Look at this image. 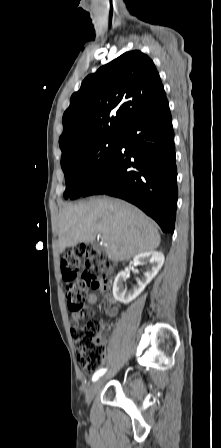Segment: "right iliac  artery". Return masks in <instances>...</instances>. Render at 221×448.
<instances>
[{
  "instance_id": "obj_1",
  "label": "right iliac artery",
  "mask_w": 221,
  "mask_h": 448,
  "mask_svg": "<svg viewBox=\"0 0 221 448\" xmlns=\"http://www.w3.org/2000/svg\"><path fill=\"white\" fill-rule=\"evenodd\" d=\"M106 372V369H100L99 371H97L93 377H92V381H96L100 376H102L104 373Z\"/></svg>"
}]
</instances>
